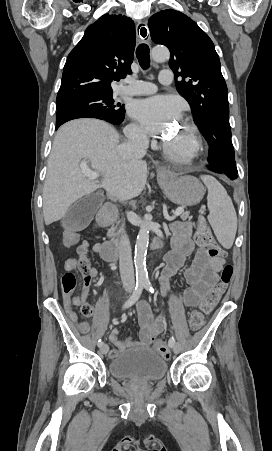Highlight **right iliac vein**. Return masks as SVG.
<instances>
[{"mask_svg":"<svg viewBox=\"0 0 272 451\" xmlns=\"http://www.w3.org/2000/svg\"><path fill=\"white\" fill-rule=\"evenodd\" d=\"M126 291H127L128 293L130 292L129 289L126 290ZM108 350H109V347H108L107 344H103V345L100 347V352H101L103 355L107 354V353H108Z\"/></svg>","mask_w":272,"mask_h":451,"instance_id":"right-iliac-vein-1","label":"right iliac vein"}]
</instances>
